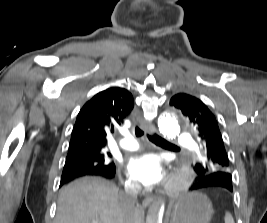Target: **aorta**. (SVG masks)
Instances as JSON below:
<instances>
[{
    "label": "aorta",
    "mask_w": 267,
    "mask_h": 223,
    "mask_svg": "<svg viewBox=\"0 0 267 223\" xmlns=\"http://www.w3.org/2000/svg\"><path fill=\"white\" fill-rule=\"evenodd\" d=\"M158 127L160 132L168 138H175L180 134L178 117L173 114L161 116L158 120ZM164 206L162 199H156L148 210L146 223H162Z\"/></svg>",
    "instance_id": "aorta-1"
}]
</instances>
